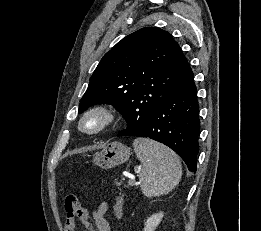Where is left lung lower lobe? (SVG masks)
<instances>
[{"label":"left lung lower lobe","instance_id":"0a47b994","mask_svg":"<svg viewBox=\"0 0 261 231\" xmlns=\"http://www.w3.org/2000/svg\"><path fill=\"white\" fill-rule=\"evenodd\" d=\"M199 104L192 76L171 98L157 107L142 125L127 127L117 136L150 138L174 150L195 172L199 152Z\"/></svg>","mask_w":261,"mask_h":231}]
</instances>
